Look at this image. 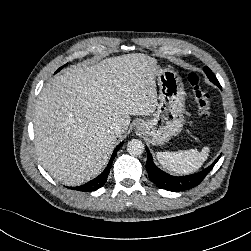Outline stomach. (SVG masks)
<instances>
[{
  "label": "stomach",
  "instance_id": "1",
  "mask_svg": "<svg viewBox=\"0 0 251 251\" xmlns=\"http://www.w3.org/2000/svg\"><path fill=\"white\" fill-rule=\"evenodd\" d=\"M159 100L153 117L139 120L138 131L147 135L153 145H163L178 135L184 124V87L181 77L171 69L155 65Z\"/></svg>",
  "mask_w": 251,
  "mask_h": 251
}]
</instances>
